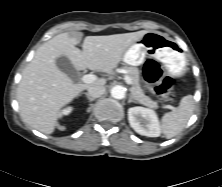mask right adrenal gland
I'll list each match as a JSON object with an SVG mask.
<instances>
[{
	"label": "right adrenal gland",
	"instance_id": "obj_1",
	"mask_svg": "<svg viewBox=\"0 0 222 187\" xmlns=\"http://www.w3.org/2000/svg\"><path fill=\"white\" fill-rule=\"evenodd\" d=\"M84 95L87 97V99H88L90 102H92V101L95 100V98L90 97L88 93H84Z\"/></svg>",
	"mask_w": 222,
	"mask_h": 187
}]
</instances>
